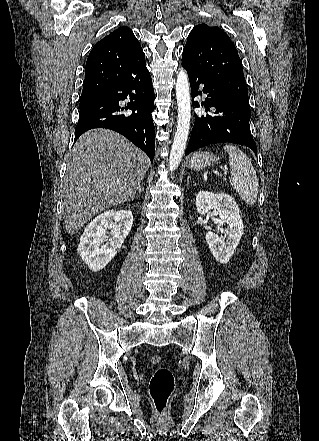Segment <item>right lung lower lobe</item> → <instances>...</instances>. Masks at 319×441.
Returning a JSON list of instances; mask_svg holds the SVG:
<instances>
[{
    "label": "right lung lower lobe",
    "mask_w": 319,
    "mask_h": 441,
    "mask_svg": "<svg viewBox=\"0 0 319 441\" xmlns=\"http://www.w3.org/2000/svg\"><path fill=\"white\" fill-rule=\"evenodd\" d=\"M130 99L127 107L119 101ZM79 120L75 128V140L93 128L116 131L154 159L155 135L151 112L154 107V89L148 69L117 81L94 95L80 101ZM131 109L130 115L124 110Z\"/></svg>",
    "instance_id": "right-lung-lower-lobe-1"
}]
</instances>
